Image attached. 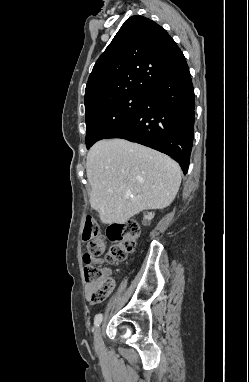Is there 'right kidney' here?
I'll return each mask as SVG.
<instances>
[{
  "mask_svg": "<svg viewBox=\"0 0 249 382\" xmlns=\"http://www.w3.org/2000/svg\"><path fill=\"white\" fill-rule=\"evenodd\" d=\"M154 213L150 212V213H147L146 215H144V218H143V223L144 225H146L147 223H149L153 218H154Z\"/></svg>",
  "mask_w": 249,
  "mask_h": 382,
  "instance_id": "right-kidney-1",
  "label": "right kidney"
}]
</instances>
